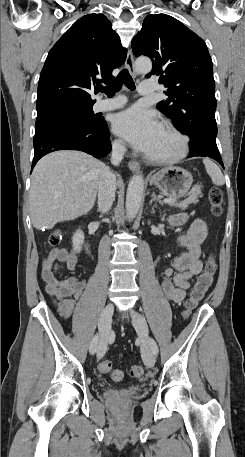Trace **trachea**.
<instances>
[{"instance_id": "obj_1", "label": "trachea", "mask_w": 245, "mask_h": 457, "mask_svg": "<svg viewBox=\"0 0 245 457\" xmlns=\"http://www.w3.org/2000/svg\"><path fill=\"white\" fill-rule=\"evenodd\" d=\"M123 84H125L130 90H135L134 80L126 69L122 70L112 83L106 87H100L99 91L106 93L108 97H112L122 88Z\"/></svg>"}]
</instances>
